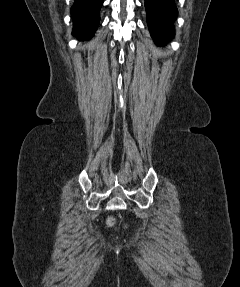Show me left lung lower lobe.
<instances>
[{
    "mask_svg": "<svg viewBox=\"0 0 240 287\" xmlns=\"http://www.w3.org/2000/svg\"><path fill=\"white\" fill-rule=\"evenodd\" d=\"M148 27L158 45L174 36L173 22L178 10L174 0H145Z\"/></svg>",
    "mask_w": 240,
    "mask_h": 287,
    "instance_id": "1",
    "label": "left lung lower lobe"
}]
</instances>
